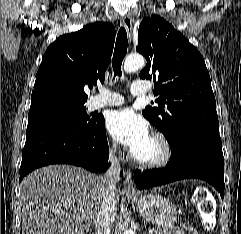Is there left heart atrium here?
Returning <instances> with one entry per match:
<instances>
[{
    "instance_id": "1",
    "label": "left heart atrium",
    "mask_w": 241,
    "mask_h": 234,
    "mask_svg": "<svg viewBox=\"0 0 241 234\" xmlns=\"http://www.w3.org/2000/svg\"><path fill=\"white\" fill-rule=\"evenodd\" d=\"M107 129L132 154L138 152L150 138L147 121L130 109L112 112L107 119Z\"/></svg>"
}]
</instances>
